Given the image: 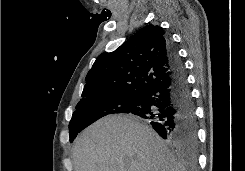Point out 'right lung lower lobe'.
<instances>
[{
  "instance_id": "98d812e1",
  "label": "right lung lower lobe",
  "mask_w": 245,
  "mask_h": 171,
  "mask_svg": "<svg viewBox=\"0 0 245 171\" xmlns=\"http://www.w3.org/2000/svg\"><path fill=\"white\" fill-rule=\"evenodd\" d=\"M170 75L146 89L141 103L129 113L146 119L154 130L169 143L197 150L195 108L182 60L169 41Z\"/></svg>"
}]
</instances>
